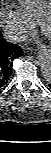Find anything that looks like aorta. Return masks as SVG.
<instances>
[{
	"mask_svg": "<svg viewBox=\"0 0 51 153\" xmlns=\"http://www.w3.org/2000/svg\"><path fill=\"white\" fill-rule=\"evenodd\" d=\"M40 66L43 77L47 80H51V55L48 49H43L39 52Z\"/></svg>",
	"mask_w": 51,
	"mask_h": 153,
	"instance_id": "aorta-1",
	"label": "aorta"
}]
</instances>
